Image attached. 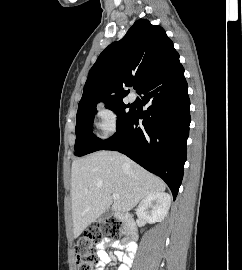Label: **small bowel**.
I'll list each match as a JSON object with an SVG mask.
<instances>
[{"label":"small bowel","mask_w":242,"mask_h":270,"mask_svg":"<svg viewBox=\"0 0 242 270\" xmlns=\"http://www.w3.org/2000/svg\"><path fill=\"white\" fill-rule=\"evenodd\" d=\"M107 247H113L117 250L115 251L116 258L121 262L115 270H129L132 264V252L130 249L132 247L136 250V245L132 242L121 243L114 240H105L98 245L97 257L99 259L96 264L95 270H104V267L111 262L110 255L106 252ZM122 249H126L128 253H125Z\"/></svg>","instance_id":"obj_1"}]
</instances>
